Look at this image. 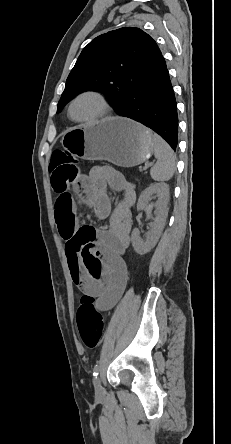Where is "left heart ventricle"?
<instances>
[{"instance_id":"1","label":"left heart ventricle","mask_w":231,"mask_h":444,"mask_svg":"<svg viewBox=\"0 0 231 444\" xmlns=\"http://www.w3.org/2000/svg\"><path fill=\"white\" fill-rule=\"evenodd\" d=\"M101 110V103L94 96H83L73 105L72 114L76 119H88L97 115Z\"/></svg>"}]
</instances>
